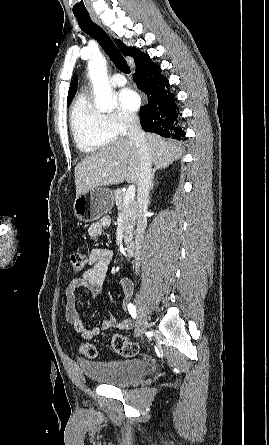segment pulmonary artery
<instances>
[{
    "mask_svg": "<svg viewBox=\"0 0 269 445\" xmlns=\"http://www.w3.org/2000/svg\"><path fill=\"white\" fill-rule=\"evenodd\" d=\"M110 84L114 87H121L126 84V79L123 75L116 73L111 76Z\"/></svg>",
    "mask_w": 269,
    "mask_h": 445,
    "instance_id": "1",
    "label": "pulmonary artery"
}]
</instances>
